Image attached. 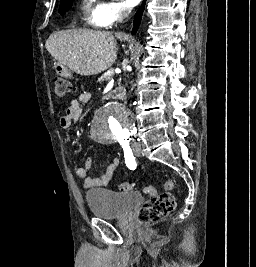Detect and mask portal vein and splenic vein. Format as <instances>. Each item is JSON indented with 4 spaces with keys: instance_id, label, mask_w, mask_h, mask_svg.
<instances>
[{
    "instance_id": "18ae733b",
    "label": "portal vein and splenic vein",
    "mask_w": 256,
    "mask_h": 267,
    "mask_svg": "<svg viewBox=\"0 0 256 267\" xmlns=\"http://www.w3.org/2000/svg\"><path fill=\"white\" fill-rule=\"evenodd\" d=\"M110 71H111V72H107L106 76H113L114 71H115V68H114V67H111V68H110Z\"/></svg>"
}]
</instances>
